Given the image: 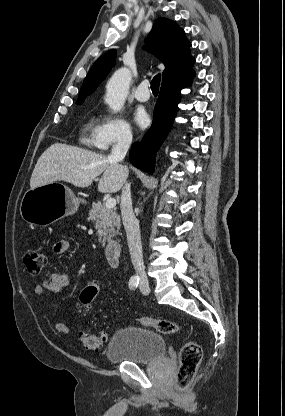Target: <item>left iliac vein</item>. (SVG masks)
Returning a JSON list of instances; mask_svg holds the SVG:
<instances>
[{"instance_id":"obj_1","label":"left iliac vein","mask_w":285,"mask_h":416,"mask_svg":"<svg viewBox=\"0 0 285 416\" xmlns=\"http://www.w3.org/2000/svg\"><path fill=\"white\" fill-rule=\"evenodd\" d=\"M140 291L143 293V294H148L149 293V285H148V283H142L141 282V284H140Z\"/></svg>"}]
</instances>
